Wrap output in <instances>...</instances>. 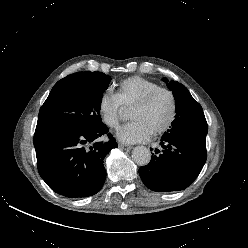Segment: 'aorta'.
I'll return each instance as SVG.
<instances>
[{"mask_svg":"<svg viewBox=\"0 0 248 248\" xmlns=\"http://www.w3.org/2000/svg\"><path fill=\"white\" fill-rule=\"evenodd\" d=\"M132 158L137 165L145 166L151 160V152L145 146H136L132 151Z\"/></svg>","mask_w":248,"mask_h":248,"instance_id":"aorta-1","label":"aorta"}]
</instances>
